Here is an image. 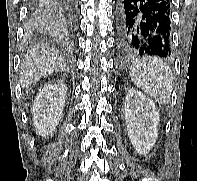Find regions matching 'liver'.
I'll return each instance as SVG.
<instances>
[{"mask_svg":"<svg viewBox=\"0 0 197 181\" xmlns=\"http://www.w3.org/2000/svg\"><path fill=\"white\" fill-rule=\"evenodd\" d=\"M67 69L65 59L56 49L46 45L34 48L29 55L24 56L20 65L21 86L27 88L43 76Z\"/></svg>","mask_w":197,"mask_h":181,"instance_id":"liver-1","label":"liver"}]
</instances>
